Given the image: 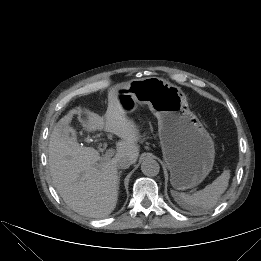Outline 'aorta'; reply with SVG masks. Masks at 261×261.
<instances>
[{"instance_id":"1","label":"aorta","mask_w":261,"mask_h":261,"mask_svg":"<svg viewBox=\"0 0 261 261\" xmlns=\"http://www.w3.org/2000/svg\"><path fill=\"white\" fill-rule=\"evenodd\" d=\"M141 170L147 176H156L160 171V166L156 160L147 158L142 162Z\"/></svg>"}]
</instances>
